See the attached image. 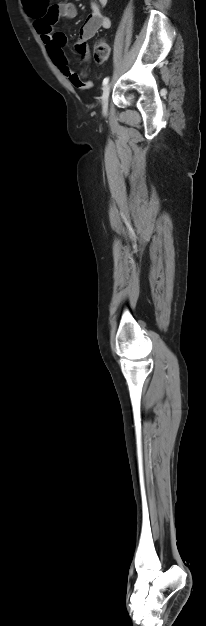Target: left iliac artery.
<instances>
[{"label":"left iliac artery","instance_id":"left-iliac-artery-1","mask_svg":"<svg viewBox=\"0 0 206 626\" xmlns=\"http://www.w3.org/2000/svg\"><path fill=\"white\" fill-rule=\"evenodd\" d=\"M108 82H109V77L104 78L102 82L103 86L107 85Z\"/></svg>","mask_w":206,"mask_h":626}]
</instances>
